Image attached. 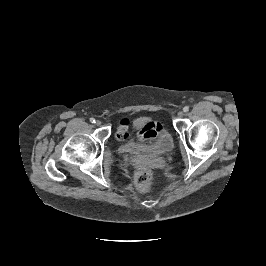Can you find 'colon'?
Segmentation results:
<instances>
[{
    "label": "colon",
    "instance_id": "colon-1",
    "mask_svg": "<svg viewBox=\"0 0 266 266\" xmlns=\"http://www.w3.org/2000/svg\"><path fill=\"white\" fill-rule=\"evenodd\" d=\"M152 172L149 168L139 169L134 178V183L137 189L141 191H148L151 187Z\"/></svg>",
    "mask_w": 266,
    "mask_h": 266
}]
</instances>
